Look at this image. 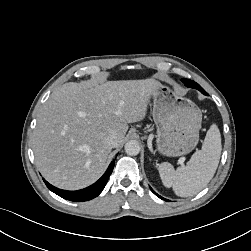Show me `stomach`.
Wrapping results in <instances>:
<instances>
[{
  "label": "stomach",
  "mask_w": 251,
  "mask_h": 251,
  "mask_svg": "<svg viewBox=\"0 0 251 251\" xmlns=\"http://www.w3.org/2000/svg\"><path fill=\"white\" fill-rule=\"evenodd\" d=\"M152 98L159 153L168 157L190 153L199 140L201 110L192 101L161 83L154 90Z\"/></svg>",
  "instance_id": "0dacf381"
}]
</instances>
